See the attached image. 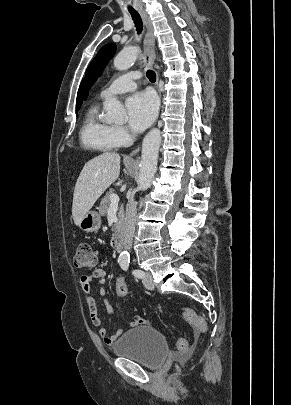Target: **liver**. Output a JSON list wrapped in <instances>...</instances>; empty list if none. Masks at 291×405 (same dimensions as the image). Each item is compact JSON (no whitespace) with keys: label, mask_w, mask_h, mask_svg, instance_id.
I'll list each match as a JSON object with an SVG mask.
<instances>
[{"label":"liver","mask_w":291,"mask_h":405,"mask_svg":"<svg viewBox=\"0 0 291 405\" xmlns=\"http://www.w3.org/2000/svg\"><path fill=\"white\" fill-rule=\"evenodd\" d=\"M119 173L120 155L113 152H104L84 165L73 194L72 216L77 226Z\"/></svg>","instance_id":"liver-1"}]
</instances>
